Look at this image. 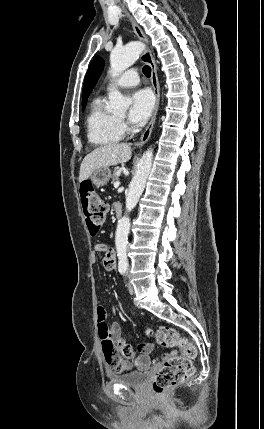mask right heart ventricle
<instances>
[{
  "label": "right heart ventricle",
  "instance_id": "1",
  "mask_svg": "<svg viewBox=\"0 0 264 429\" xmlns=\"http://www.w3.org/2000/svg\"><path fill=\"white\" fill-rule=\"evenodd\" d=\"M87 136L96 146H109L118 143L124 136L119 119L108 112L102 97L96 98L87 116Z\"/></svg>",
  "mask_w": 264,
  "mask_h": 429
}]
</instances>
